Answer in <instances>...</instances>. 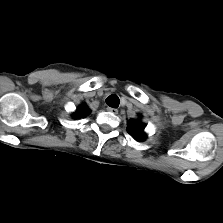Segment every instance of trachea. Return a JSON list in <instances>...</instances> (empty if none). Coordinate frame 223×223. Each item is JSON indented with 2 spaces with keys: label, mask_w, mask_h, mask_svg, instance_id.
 <instances>
[{
  "label": "trachea",
  "mask_w": 223,
  "mask_h": 223,
  "mask_svg": "<svg viewBox=\"0 0 223 223\" xmlns=\"http://www.w3.org/2000/svg\"><path fill=\"white\" fill-rule=\"evenodd\" d=\"M106 103L112 108H117L119 106L120 100L117 95H110L109 97H107Z\"/></svg>",
  "instance_id": "1"
}]
</instances>
